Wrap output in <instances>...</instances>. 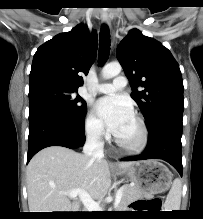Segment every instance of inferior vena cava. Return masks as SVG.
Wrapping results in <instances>:
<instances>
[{
  "label": "inferior vena cava",
  "instance_id": "obj_1",
  "mask_svg": "<svg viewBox=\"0 0 203 219\" xmlns=\"http://www.w3.org/2000/svg\"><path fill=\"white\" fill-rule=\"evenodd\" d=\"M101 130L88 135L83 147V153L94 160L104 158V143L100 140Z\"/></svg>",
  "mask_w": 203,
  "mask_h": 219
}]
</instances>
